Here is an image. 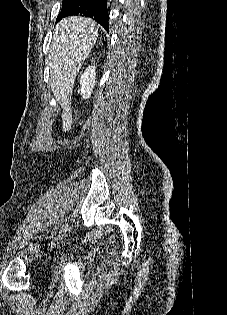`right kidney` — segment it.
I'll list each match as a JSON object with an SVG mask.
<instances>
[{"label": "right kidney", "instance_id": "ca27d5eb", "mask_svg": "<svg viewBox=\"0 0 227 315\" xmlns=\"http://www.w3.org/2000/svg\"><path fill=\"white\" fill-rule=\"evenodd\" d=\"M96 71L95 66H89L80 77L81 88L78 92L83 98H89L95 85Z\"/></svg>", "mask_w": 227, "mask_h": 315}]
</instances>
